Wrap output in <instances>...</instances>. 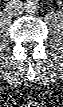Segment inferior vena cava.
Segmentation results:
<instances>
[{
	"label": "inferior vena cava",
	"mask_w": 63,
	"mask_h": 107,
	"mask_svg": "<svg viewBox=\"0 0 63 107\" xmlns=\"http://www.w3.org/2000/svg\"><path fill=\"white\" fill-rule=\"evenodd\" d=\"M6 11L13 16L20 15L23 12V5L20 1H9L6 4Z\"/></svg>",
	"instance_id": "1"
}]
</instances>
